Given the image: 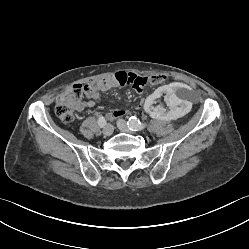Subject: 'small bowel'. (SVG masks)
Segmentation results:
<instances>
[{"mask_svg": "<svg viewBox=\"0 0 249 249\" xmlns=\"http://www.w3.org/2000/svg\"><path fill=\"white\" fill-rule=\"evenodd\" d=\"M133 76H135V74L133 73L117 72L100 80H96L87 84L85 86V94L88 100L85 103H79L76 106V109L82 110L85 107H93L99 99L100 92L109 91L119 86H125L127 85L129 79ZM123 114V111H115L113 114H111V116L120 117Z\"/></svg>", "mask_w": 249, "mask_h": 249, "instance_id": "c3829d8e", "label": "small bowel"}]
</instances>
